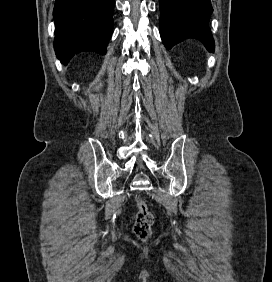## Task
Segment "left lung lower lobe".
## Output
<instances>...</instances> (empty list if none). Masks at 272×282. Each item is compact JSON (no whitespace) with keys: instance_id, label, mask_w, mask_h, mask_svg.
Masks as SVG:
<instances>
[{"instance_id":"left-lung-lower-lobe-1","label":"left lung lower lobe","mask_w":272,"mask_h":282,"mask_svg":"<svg viewBox=\"0 0 272 282\" xmlns=\"http://www.w3.org/2000/svg\"><path fill=\"white\" fill-rule=\"evenodd\" d=\"M159 4L160 35L166 48L196 38L213 52L214 41L208 26L213 12L210 0H159Z\"/></svg>"}]
</instances>
